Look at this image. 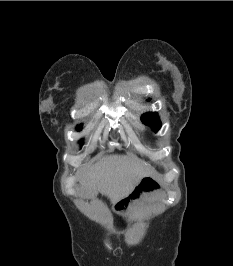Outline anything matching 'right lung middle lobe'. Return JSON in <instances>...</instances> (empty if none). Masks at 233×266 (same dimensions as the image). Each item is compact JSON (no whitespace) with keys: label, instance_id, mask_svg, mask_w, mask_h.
<instances>
[{"label":"right lung middle lobe","instance_id":"obj_1","mask_svg":"<svg viewBox=\"0 0 233 266\" xmlns=\"http://www.w3.org/2000/svg\"><path fill=\"white\" fill-rule=\"evenodd\" d=\"M77 130H79V131L81 130V126H80V125H79V126H77Z\"/></svg>","mask_w":233,"mask_h":266}]
</instances>
